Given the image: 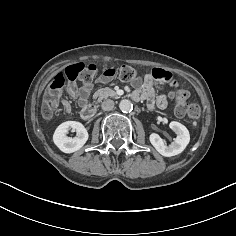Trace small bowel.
Instances as JSON below:
<instances>
[{
  "mask_svg": "<svg viewBox=\"0 0 236 236\" xmlns=\"http://www.w3.org/2000/svg\"><path fill=\"white\" fill-rule=\"evenodd\" d=\"M168 73L159 68L153 69L149 74L145 75L142 81L134 80L133 85L136 87V90L133 93V98L135 100H147L151 107H158L163 109L167 106V97L164 93H154V84H163L167 77ZM107 78L100 77L99 81L104 82ZM92 90V83H85L80 88L70 87L69 94L71 97L77 99L80 106H84L89 98L90 92ZM64 110L67 113L71 112V105L67 100L62 101Z\"/></svg>",
  "mask_w": 236,
  "mask_h": 236,
  "instance_id": "small-bowel-1",
  "label": "small bowel"
}]
</instances>
